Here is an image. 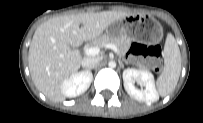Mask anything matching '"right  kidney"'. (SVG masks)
<instances>
[{
  "label": "right kidney",
  "instance_id": "1",
  "mask_svg": "<svg viewBox=\"0 0 203 123\" xmlns=\"http://www.w3.org/2000/svg\"><path fill=\"white\" fill-rule=\"evenodd\" d=\"M93 75L90 71H80L70 76L61 85L65 97L73 98L87 91L92 82Z\"/></svg>",
  "mask_w": 203,
  "mask_h": 123
}]
</instances>
